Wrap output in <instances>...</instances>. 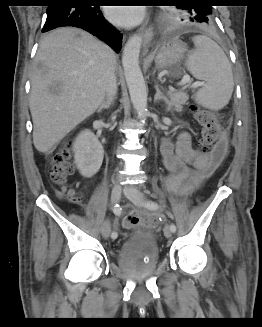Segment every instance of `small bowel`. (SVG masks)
I'll use <instances>...</instances> for the list:
<instances>
[{
	"mask_svg": "<svg viewBox=\"0 0 262 327\" xmlns=\"http://www.w3.org/2000/svg\"><path fill=\"white\" fill-rule=\"evenodd\" d=\"M161 153L168 170L165 184L173 192H191L217 166L207 163L209 155L192 147L187 132L180 133L175 142L165 138L161 144ZM78 203H82L81 198H78Z\"/></svg>",
	"mask_w": 262,
	"mask_h": 327,
	"instance_id": "obj_1",
	"label": "small bowel"
}]
</instances>
